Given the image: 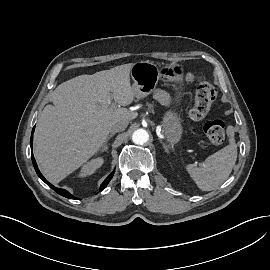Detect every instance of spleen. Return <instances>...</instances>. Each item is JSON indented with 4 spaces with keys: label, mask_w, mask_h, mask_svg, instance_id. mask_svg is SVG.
Segmentation results:
<instances>
[{
    "label": "spleen",
    "mask_w": 270,
    "mask_h": 270,
    "mask_svg": "<svg viewBox=\"0 0 270 270\" xmlns=\"http://www.w3.org/2000/svg\"><path fill=\"white\" fill-rule=\"evenodd\" d=\"M227 134L230 137V144L207 157L202 167L194 164L186 166L187 172L202 191L217 188L232 172L237 159V145L232 127H228Z\"/></svg>",
    "instance_id": "obj_1"
}]
</instances>
